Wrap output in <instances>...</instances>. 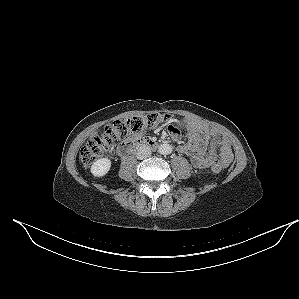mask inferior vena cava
Returning a JSON list of instances; mask_svg holds the SVG:
<instances>
[{"mask_svg": "<svg viewBox=\"0 0 299 299\" xmlns=\"http://www.w3.org/2000/svg\"><path fill=\"white\" fill-rule=\"evenodd\" d=\"M151 156V149L149 146L143 145L139 147L136 153V157L140 160L146 159Z\"/></svg>", "mask_w": 299, "mask_h": 299, "instance_id": "1", "label": "inferior vena cava"}]
</instances>
